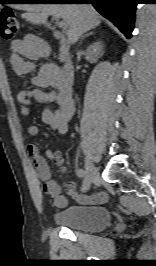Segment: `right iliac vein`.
<instances>
[{"label":"right iliac vein","mask_w":156,"mask_h":266,"mask_svg":"<svg viewBox=\"0 0 156 266\" xmlns=\"http://www.w3.org/2000/svg\"><path fill=\"white\" fill-rule=\"evenodd\" d=\"M85 173V184L88 189L96 177L95 168L88 157L85 158Z\"/></svg>","instance_id":"1"}]
</instances>
